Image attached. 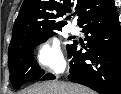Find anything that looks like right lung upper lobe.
Returning a JSON list of instances; mask_svg holds the SVG:
<instances>
[{"label":"right lung upper lobe","instance_id":"obj_1","mask_svg":"<svg viewBox=\"0 0 121 94\" xmlns=\"http://www.w3.org/2000/svg\"><path fill=\"white\" fill-rule=\"evenodd\" d=\"M113 0H24L13 26L10 44L27 32L61 30L66 25L59 21L71 11L78 13V25L87 17L105 9Z\"/></svg>","mask_w":121,"mask_h":94}]
</instances>
